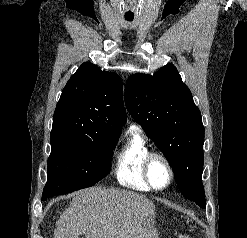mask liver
<instances>
[{
  "label": "liver",
  "instance_id": "obj_1",
  "mask_svg": "<svg viewBox=\"0 0 247 238\" xmlns=\"http://www.w3.org/2000/svg\"><path fill=\"white\" fill-rule=\"evenodd\" d=\"M155 205L132 191L92 187L73 194L54 238H157Z\"/></svg>",
  "mask_w": 247,
  "mask_h": 238
}]
</instances>
